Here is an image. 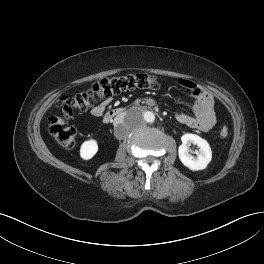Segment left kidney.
Listing matches in <instances>:
<instances>
[{
	"label": "left kidney",
	"instance_id": "1",
	"mask_svg": "<svg viewBox=\"0 0 264 264\" xmlns=\"http://www.w3.org/2000/svg\"><path fill=\"white\" fill-rule=\"evenodd\" d=\"M182 144L179 146L178 154L181 162L193 171L203 170L212 159V151L209 143L198 135L186 133L181 137ZM192 143L199 147L197 157L189 154L188 146Z\"/></svg>",
	"mask_w": 264,
	"mask_h": 264
}]
</instances>
